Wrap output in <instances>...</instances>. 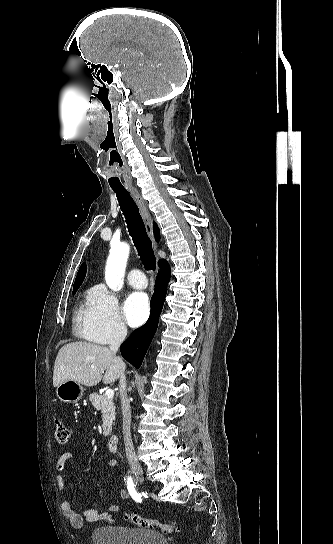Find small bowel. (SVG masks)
Listing matches in <instances>:
<instances>
[{
  "instance_id": "1",
  "label": "small bowel",
  "mask_w": 333,
  "mask_h": 544,
  "mask_svg": "<svg viewBox=\"0 0 333 544\" xmlns=\"http://www.w3.org/2000/svg\"><path fill=\"white\" fill-rule=\"evenodd\" d=\"M72 454L65 452L61 454L57 460V485L58 489L62 495V509L65 517L69 520L72 527L80 529L84 526L85 522L95 523L102 520L114 521L113 514L120 510V505L111 504L106 511H99L96 509H84L80 506L73 505L67 498L66 495V486L64 481L63 472L66 468V465L69 461L72 460ZM118 466V461L116 459H110L108 461V467L114 469ZM115 487V484L111 486L110 490ZM120 497L122 499H129L130 494L125 490H120Z\"/></svg>"
}]
</instances>
